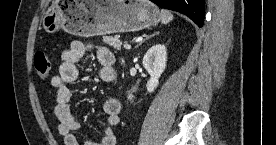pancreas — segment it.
Masks as SVG:
<instances>
[{"mask_svg": "<svg viewBox=\"0 0 276 145\" xmlns=\"http://www.w3.org/2000/svg\"><path fill=\"white\" fill-rule=\"evenodd\" d=\"M104 43L113 47L116 50H121L122 41L119 39L118 35L115 36H105L103 37Z\"/></svg>", "mask_w": 276, "mask_h": 145, "instance_id": "pancreas-1", "label": "pancreas"}]
</instances>
